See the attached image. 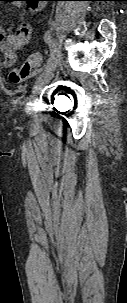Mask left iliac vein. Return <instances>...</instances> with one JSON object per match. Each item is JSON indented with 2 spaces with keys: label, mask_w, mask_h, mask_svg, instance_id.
Masks as SVG:
<instances>
[{
  "label": "left iliac vein",
  "mask_w": 127,
  "mask_h": 303,
  "mask_svg": "<svg viewBox=\"0 0 127 303\" xmlns=\"http://www.w3.org/2000/svg\"><path fill=\"white\" fill-rule=\"evenodd\" d=\"M53 46L56 50L55 62L53 64V66L45 69L44 72L37 79L36 84H35L34 89H33V92H32L33 96L40 93L42 88L51 81V79L53 78V73H54L55 68L57 66H59L62 62V55H61V52L57 48L58 44L55 40L53 41ZM26 109H27V112L30 113V111H31V104L30 103H27Z\"/></svg>",
  "instance_id": "1"
}]
</instances>
